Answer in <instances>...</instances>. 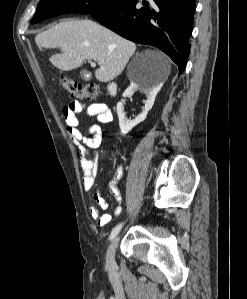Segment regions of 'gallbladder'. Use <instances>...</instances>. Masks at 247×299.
Returning a JSON list of instances; mask_svg holds the SVG:
<instances>
[{
	"label": "gallbladder",
	"mask_w": 247,
	"mask_h": 299,
	"mask_svg": "<svg viewBox=\"0 0 247 299\" xmlns=\"http://www.w3.org/2000/svg\"><path fill=\"white\" fill-rule=\"evenodd\" d=\"M85 75H86V72H85V71H82V72H81V76H82L83 78H86Z\"/></svg>",
	"instance_id": "obj_1"
}]
</instances>
